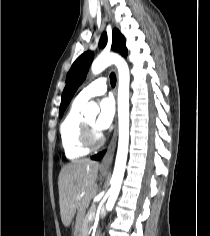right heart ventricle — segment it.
Instances as JSON below:
<instances>
[{
	"label": "right heart ventricle",
	"instance_id": "obj_1",
	"mask_svg": "<svg viewBox=\"0 0 210 236\" xmlns=\"http://www.w3.org/2000/svg\"><path fill=\"white\" fill-rule=\"evenodd\" d=\"M83 105V102L75 99L61 125V144L64 154L69 160L79 159L90 151L82 142L84 118L81 109Z\"/></svg>",
	"mask_w": 210,
	"mask_h": 236
}]
</instances>
